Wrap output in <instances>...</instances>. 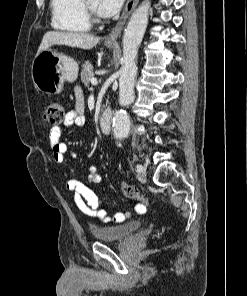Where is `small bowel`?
Masks as SVG:
<instances>
[{"instance_id":"small-bowel-1","label":"small bowel","mask_w":247,"mask_h":296,"mask_svg":"<svg viewBox=\"0 0 247 296\" xmlns=\"http://www.w3.org/2000/svg\"><path fill=\"white\" fill-rule=\"evenodd\" d=\"M75 109L66 114L63 125L65 127H83L86 124L84 116V98L80 88L75 89ZM61 127H53L49 133V140L52 147L53 159L56 163L61 164L68 154L71 158H76V154L71 152L64 142L60 140ZM101 178L95 166H91L85 175V180L81 181L75 178H68L66 187L74 194V202L77 208L87 216L93 217L105 223L122 222L129 218L128 211L116 213L110 216L102 198L89 187L90 184H98ZM137 210H141L142 206L137 205Z\"/></svg>"}]
</instances>
